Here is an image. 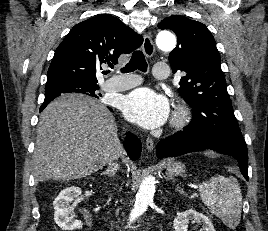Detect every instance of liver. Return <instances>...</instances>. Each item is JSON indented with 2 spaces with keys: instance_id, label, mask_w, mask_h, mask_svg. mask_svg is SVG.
Returning <instances> with one entry per match:
<instances>
[{
  "instance_id": "6515ba94",
  "label": "liver",
  "mask_w": 268,
  "mask_h": 231,
  "mask_svg": "<svg viewBox=\"0 0 268 231\" xmlns=\"http://www.w3.org/2000/svg\"><path fill=\"white\" fill-rule=\"evenodd\" d=\"M122 158L117 125L105 105L63 94L40 115L33 153L36 182L83 178Z\"/></svg>"
}]
</instances>
